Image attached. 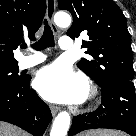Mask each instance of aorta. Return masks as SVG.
<instances>
[{"mask_svg": "<svg viewBox=\"0 0 136 136\" xmlns=\"http://www.w3.org/2000/svg\"><path fill=\"white\" fill-rule=\"evenodd\" d=\"M54 21L59 27H68L71 24V17L66 12H57ZM70 115L68 112H60L53 122L50 136H66L70 126Z\"/></svg>", "mask_w": 136, "mask_h": 136, "instance_id": "762f6f07", "label": "aorta"}]
</instances>
